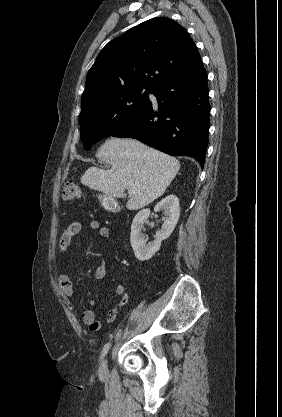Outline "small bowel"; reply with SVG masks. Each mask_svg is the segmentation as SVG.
Here are the masks:
<instances>
[{
	"mask_svg": "<svg viewBox=\"0 0 282 417\" xmlns=\"http://www.w3.org/2000/svg\"><path fill=\"white\" fill-rule=\"evenodd\" d=\"M91 230H96L98 235L101 238H108L110 236V229L107 226H100L98 221L92 220L89 223ZM82 225L79 221L71 222L66 230L62 233L59 239L58 253L63 255L69 248L73 238L80 233ZM95 277L98 280H105L107 278V269L105 266H99L95 270ZM59 284L62 292L67 297L74 296L73 283L70 277L65 273H60L59 275ZM115 296L119 297V301L108 311L106 320L108 323H112L118 314V310L127 303L129 296L125 290V287L122 284H117L113 290ZM91 306H95V301H89ZM83 322L88 326L89 330L92 332L98 331L100 328V322L96 318V313L94 310L89 309L83 312L82 314Z\"/></svg>",
	"mask_w": 282,
	"mask_h": 417,
	"instance_id": "c3829d8e",
	"label": "small bowel"
}]
</instances>
